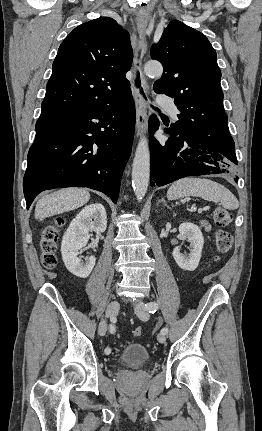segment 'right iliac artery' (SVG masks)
<instances>
[{
  "label": "right iliac artery",
  "mask_w": 262,
  "mask_h": 431,
  "mask_svg": "<svg viewBox=\"0 0 262 431\" xmlns=\"http://www.w3.org/2000/svg\"><path fill=\"white\" fill-rule=\"evenodd\" d=\"M110 332H111V333H113L114 331L111 329V330H110ZM105 353H106V354H110V353H111V349H110L109 347H107V348L105 349Z\"/></svg>",
  "instance_id": "right-iliac-artery-1"
}]
</instances>
